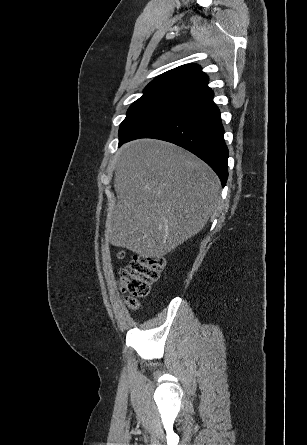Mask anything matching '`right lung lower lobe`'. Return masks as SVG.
<instances>
[{
  "instance_id": "obj_1",
  "label": "right lung lower lobe",
  "mask_w": 307,
  "mask_h": 445,
  "mask_svg": "<svg viewBox=\"0 0 307 445\" xmlns=\"http://www.w3.org/2000/svg\"><path fill=\"white\" fill-rule=\"evenodd\" d=\"M213 91L185 101L175 109L119 140V147L138 138H155L181 146L205 161L219 176L224 187L228 178V149L220 111Z\"/></svg>"
}]
</instances>
